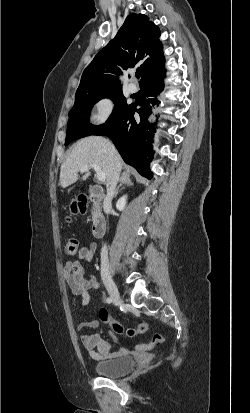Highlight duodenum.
<instances>
[{
  "instance_id": "duodenum-1",
  "label": "duodenum",
  "mask_w": 250,
  "mask_h": 413,
  "mask_svg": "<svg viewBox=\"0 0 250 413\" xmlns=\"http://www.w3.org/2000/svg\"><path fill=\"white\" fill-rule=\"evenodd\" d=\"M88 195L96 203H99L104 197V195L101 191H99V190H97L93 187H89ZM91 229H92L93 236L96 237V238L101 237L105 233L106 221H105V218H104V216L101 212L97 211L95 213Z\"/></svg>"
}]
</instances>
